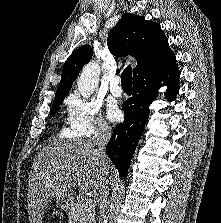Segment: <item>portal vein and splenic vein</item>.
Segmentation results:
<instances>
[{"mask_svg":"<svg viewBox=\"0 0 221 223\" xmlns=\"http://www.w3.org/2000/svg\"><path fill=\"white\" fill-rule=\"evenodd\" d=\"M92 202H93L92 198H87V199L85 200V203H86V204H91Z\"/></svg>","mask_w":221,"mask_h":223,"instance_id":"18ae733b","label":"portal vein and splenic vein"}]
</instances>
